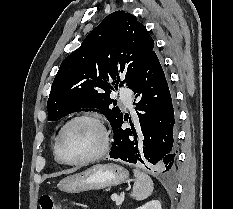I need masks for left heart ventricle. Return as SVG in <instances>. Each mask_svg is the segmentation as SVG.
Wrapping results in <instances>:
<instances>
[{
  "mask_svg": "<svg viewBox=\"0 0 233 209\" xmlns=\"http://www.w3.org/2000/svg\"><path fill=\"white\" fill-rule=\"evenodd\" d=\"M102 143L99 127L82 120L71 124L63 134L60 151L67 160H78L95 153Z\"/></svg>",
  "mask_w": 233,
  "mask_h": 209,
  "instance_id": "left-heart-ventricle-1",
  "label": "left heart ventricle"
}]
</instances>
